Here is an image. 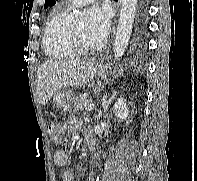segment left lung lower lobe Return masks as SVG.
<instances>
[{"mask_svg":"<svg viewBox=\"0 0 197 181\" xmlns=\"http://www.w3.org/2000/svg\"><path fill=\"white\" fill-rule=\"evenodd\" d=\"M147 1L148 0H141L138 23L129 48V56L132 58L140 57L146 51Z\"/></svg>","mask_w":197,"mask_h":181,"instance_id":"obj_1","label":"left lung lower lobe"}]
</instances>
